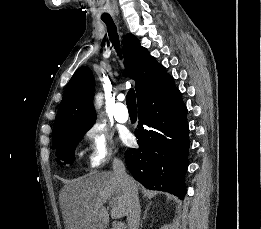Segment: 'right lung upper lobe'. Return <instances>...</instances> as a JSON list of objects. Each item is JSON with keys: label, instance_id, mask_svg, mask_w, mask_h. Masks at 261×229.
I'll return each instance as SVG.
<instances>
[{"label": "right lung upper lobe", "instance_id": "1", "mask_svg": "<svg viewBox=\"0 0 261 229\" xmlns=\"http://www.w3.org/2000/svg\"><path fill=\"white\" fill-rule=\"evenodd\" d=\"M123 50L128 75L136 82L137 100L170 77L134 35L129 33L124 37ZM93 96L94 78L91 70L83 66L74 73L66 86L54 121L52 148L60 146L64 141L62 128L94 124L96 114Z\"/></svg>", "mask_w": 261, "mask_h": 229}]
</instances>
